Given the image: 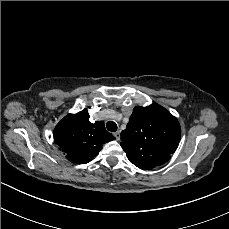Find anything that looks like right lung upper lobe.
Listing matches in <instances>:
<instances>
[{
  "label": "right lung upper lobe",
  "mask_w": 229,
  "mask_h": 229,
  "mask_svg": "<svg viewBox=\"0 0 229 229\" xmlns=\"http://www.w3.org/2000/svg\"><path fill=\"white\" fill-rule=\"evenodd\" d=\"M54 141L74 163H88L102 145L115 139L102 121L91 123L87 109L66 115L54 129Z\"/></svg>",
  "instance_id": "obj_1"
}]
</instances>
